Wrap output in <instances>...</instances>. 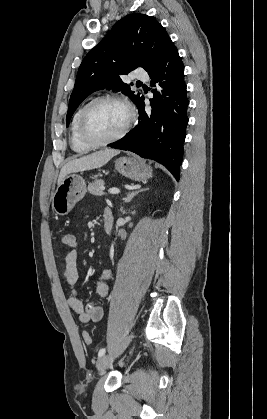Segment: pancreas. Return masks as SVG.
I'll list each match as a JSON object with an SVG mask.
<instances>
[{"label": "pancreas", "mask_w": 267, "mask_h": 419, "mask_svg": "<svg viewBox=\"0 0 267 419\" xmlns=\"http://www.w3.org/2000/svg\"><path fill=\"white\" fill-rule=\"evenodd\" d=\"M104 186V181L102 179H95L92 183L88 185V192L95 196L103 195L102 187Z\"/></svg>", "instance_id": "pancreas-1"}]
</instances>
